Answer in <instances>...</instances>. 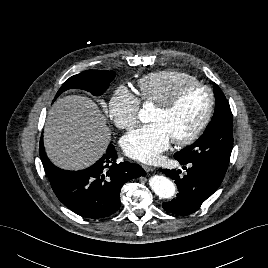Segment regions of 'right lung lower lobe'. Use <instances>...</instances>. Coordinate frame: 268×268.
<instances>
[{
    "instance_id": "right-lung-lower-lobe-1",
    "label": "right lung lower lobe",
    "mask_w": 268,
    "mask_h": 268,
    "mask_svg": "<svg viewBox=\"0 0 268 268\" xmlns=\"http://www.w3.org/2000/svg\"><path fill=\"white\" fill-rule=\"evenodd\" d=\"M40 148L44 149L42 138ZM116 159L110 144L106 153L84 170H62L49 159L43 166L54 193L67 208L82 217L97 219L115 213L123 184L145 174L139 165L127 161L117 164Z\"/></svg>"
}]
</instances>
